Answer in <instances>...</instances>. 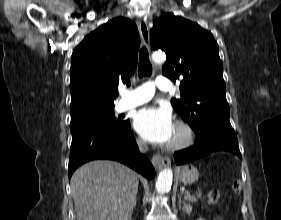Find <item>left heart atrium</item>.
I'll list each match as a JSON object with an SVG mask.
<instances>
[{
	"label": "left heart atrium",
	"mask_w": 281,
	"mask_h": 220,
	"mask_svg": "<svg viewBox=\"0 0 281 220\" xmlns=\"http://www.w3.org/2000/svg\"><path fill=\"white\" fill-rule=\"evenodd\" d=\"M175 124L166 108L146 107L134 117V128L148 142L166 144L169 142Z\"/></svg>",
	"instance_id": "1"
}]
</instances>
